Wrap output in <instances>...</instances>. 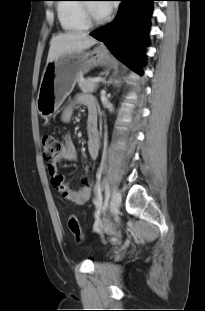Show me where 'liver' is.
I'll return each mask as SVG.
<instances>
[{
	"label": "liver",
	"instance_id": "1",
	"mask_svg": "<svg viewBox=\"0 0 205 311\" xmlns=\"http://www.w3.org/2000/svg\"><path fill=\"white\" fill-rule=\"evenodd\" d=\"M97 40L87 33H62L54 36L50 41L47 63L57 61L66 54L83 51L95 45Z\"/></svg>",
	"mask_w": 205,
	"mask_h": 311
}]
</instances>
